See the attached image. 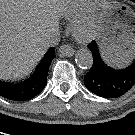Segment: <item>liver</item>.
I'll list each match as a JSON object with an SVG mask.
<instances>
[{
  "instance_id": "liver-1",
  "label": "liver",
  "mask_w": 135,
  "mask_h": 135,
  "mask_svg": "<svg viewBox=\"0 0 135 135\" xmlns=\"http://www.w3.org/2000/svg\"><path fill=\"white\" fill-rule=\"evenodd\" d=\"M68 0H0V79L28 75L47 49L45 37L58 30Z\"/></svg>"
}]
</instances>
